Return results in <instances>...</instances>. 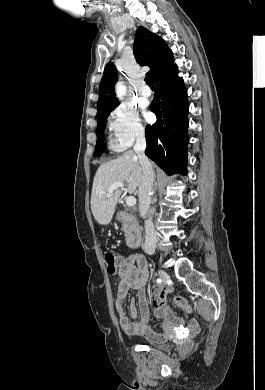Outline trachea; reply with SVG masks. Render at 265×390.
<instances>
[{
  "instance_id": "trachea-1",
  "label": "trachea",
  "mask_w": 265,
  "mask_h": 390,
  "mask_svg": "<svg viewBox=\"0 0 265 390\" xmlns=\"http://www.w3.org/2000/svg\"><path fill=\"white\" fill-rule=\"evenodd\" d=\"M145 82L147 83L148 86L154 87V82H153L151 76L147 75V76L145 77Z\"/></svg>"
}]
</instances>
